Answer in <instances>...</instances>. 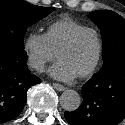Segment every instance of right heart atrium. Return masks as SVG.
<instances>
[{
	"mask_svg": "<svg viewBox=\"0 0 125 125\" xmlns=\"http://www.w3.org/2000/svg\"><path fill=\"white\" fill-rule=\"evenodd\" d=\"M22 49L29 67L37 72H41L55 58V52L48 45L45 34H27L22 42Z\"/></svg>",
	"mask_w": 125,
	"mask_h": 125,
	"instance_id": "1",
	"label": "right heart atrium"
}]
</instances>
